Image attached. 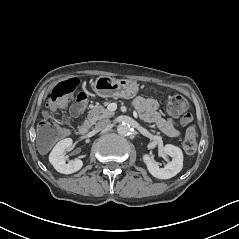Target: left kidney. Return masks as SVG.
I'll return each instance as SVG.
<instances>
[{"instance_id": "left-kidney-1", "label": "left kidney", "mask_w": 239, "mask_h": 239, "mask_svg": "<svg viewBox=\"0 0 239 239\" xmlns=\"http://www.w3.org/2000/svg\"><path fill=\"white\" fill-rule=\"evenodd\" d=\"M164 154L171 158V161L167 163L163 168H159L158 164L153 161L152 156L149 153L142 155V161L146 165L148 172L155 178L165 180L170 179L178 174L183 165V154L181 149L173 145H165L163 148Z\"/></svg>"}]
</instances>
